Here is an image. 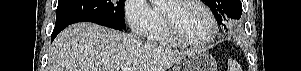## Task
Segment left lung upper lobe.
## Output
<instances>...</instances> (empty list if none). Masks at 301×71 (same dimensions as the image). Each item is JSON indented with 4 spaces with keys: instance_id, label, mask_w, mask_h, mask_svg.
<instances>
[{
    "instance_id": "left-lung-upper-lobe-1",
    "label": "left lung upper lobe",
    "mask_w": 301,
    "mask_h": 71,
    "mask_svg": "<svg viewBox=\"0 0 301 71\" xmlns=\"http://www.w3.org/2000/svg\"><path fill=\"white\" fill-rule=\"evenodd\" d=\"M212 8L217 17L218 23L221 24L226 17L239 20L242 14V5L240 0H205Z\"/></svg>"
}]
</instances>
